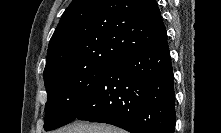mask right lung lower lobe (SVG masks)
Instances as JSON below:
<instances>
[{"instance_id":"obj_1","label":"right lung lower lobe","mask_w":221,"mask_h":133,"mask_svg":"<svg viewBox=\"0 0 221 133\" xmlns=\"http://www.w3.org/2000/svg\"><path fill=\"white\" fill-rule=\"evenodd\" d=\"M173 70L167 40L113 63L75 119L131 133H174Z\"/></svg>"}]
</instances>
